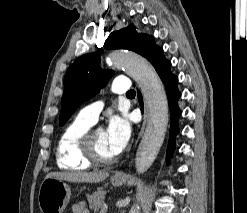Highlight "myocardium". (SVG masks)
<instances>
[{"label": "myocardium", "instance_id": "1", "mask_svg": "<svg viewBox=\"0 0 247 213\" xmlns=\"http://www.w3.org/2000/svg\"><path fill=\"white\" fill-rule=\"evenodd\" d=\"M96 129L87 130L79 139V153L81 158L93 166H106L115 162L116 157L109 159L99 158L94 149V134Z\"/></svg>", "mask_w": 247, "mask_h": 213}]
</instances>
